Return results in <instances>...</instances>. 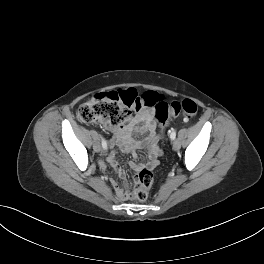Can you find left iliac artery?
Masks as SVG:
<instances>
[{"instance_id":"left-iliac-artery-1","label":"left iliac artery","mask_w":264,"mask_h":264,"mask_svg":"<svg viewBox=\"0 0 264 264\" xmlns=\"http://www.w3.org/2000/svg\"><path fill=\"white\" fill-rule=\"evenodd\" d=\"M170 138L172 140H174L176 138V131L175 130H172L171 134H170Z\"/></svg>"}]
</instances>
